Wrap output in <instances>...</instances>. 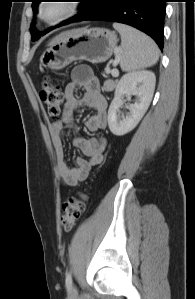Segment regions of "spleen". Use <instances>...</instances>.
Instances as JSON below:
<instances>
[{
  "mask_svg": "<svg viewBox=\"0 0 195 299\" xmlns=\"http://www.w3.org/2000/svg\"><path fill=\"white\" fill-rule=\"evenodd\" d=\"M113 27L121 35L119 56L123 71L144 69L157 63L159 49L150 37L125 24L113 23Z\"/></svg>",
  "mask_w": 195,
  "mask_h": 299,
  "instance_id": "1",
  "label": "spleen"
}]
</instances>
